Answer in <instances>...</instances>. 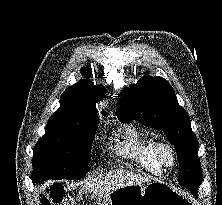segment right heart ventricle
<instances>
[{"instance_id":"right-heart-ventricle-1","label":"right heart ventricle","mask_w":222,"mask_h":205,"mask_svg":"<svg viewBox=\"0 0 222 205\" xmlns=\"http://www.w3.org/2000/svg\"><path fill=\"white\" fill-rule=\"evenodd\" d=\"M154 147L153 137L134 132L129 136L125 152L144 169L154 174H161L163 166L156 159Z\"/></svg>"}]
</instances>
